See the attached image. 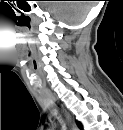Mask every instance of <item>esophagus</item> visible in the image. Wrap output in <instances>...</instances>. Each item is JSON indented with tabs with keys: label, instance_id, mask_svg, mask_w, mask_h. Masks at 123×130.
Returning a JSON list of instances; mask_svg holds the SVG:
<instances>
[{
	"label": "esophagus",
	"instance_id": "obj_1",
	"mask_svg": "<svg viewBox=\"0 0 123 130\" xmlns=\"http://www.w3.org/2000/svg\"><path fill=\"white\" fill-rule=\"evenodd\" d=\"M63 111H64L66 117L69 120V115H68L67 111L64 108H63ZM71 126H72V130H76L77 129V126L74 123H72Z\"/></svg>",
	"mask_w": 123,
	"mask_h": 130
}]
</instances>
